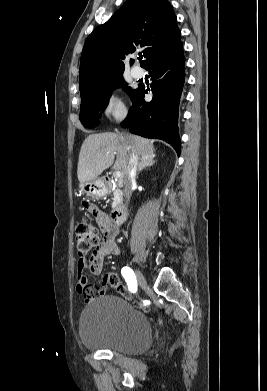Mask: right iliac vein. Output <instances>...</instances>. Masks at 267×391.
Returning <instances> with one entry per match:
<instances>
[{"instance_id":"1","label":"right iliac vein","mask_w":267,"mask_h":391,"mask_svg":"<svg viewBox=\"0 0 267 391\" xmlns=\"http://www.w3.org/2000/svg\"><path fill=\"white\" fill-rule=\"evenodd\" d=\"M136 278H137V281H138V284L142 287V288H146L147 286V281L144 277V275L142 274V272L140 270H136Z\"/></svg>"}]
</instances>
